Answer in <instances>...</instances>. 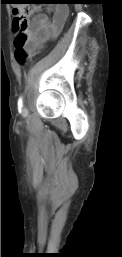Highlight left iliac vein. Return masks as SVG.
<instances>
[{"instance_id": "1", "label": "left iliac vein", "mask_w": 122, "mask_h": 257, "mask_svg": "<svg viewBox=\"0 0 122 257\" xmlns=\"http://www.w3.org/2000/svg\"><path fill=\"white\" fill-rule=\"evenodd\" d=\"M23 113L24 114L27 113V109L26 108L23 109Z\"/></svg>"}]
</instances>
